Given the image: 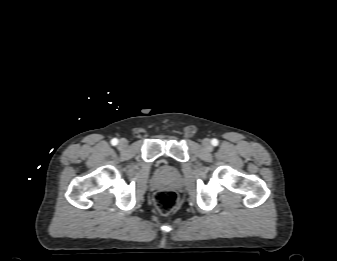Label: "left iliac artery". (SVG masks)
Here are the masks:
<instances>
[{"mask_svg": "<svg viewBox=\"0 0 337 261\" xmlns=\"http://www.w3.org/2000/svg\"><path fill=\"white\" fill-rule=\"evenodd\" d=\"M213 146H217L218 145V140L217 139H212L211 141Z\"/></svg>", "mask_w": 337, "mask_h": 261, "instance_id": "1", "label": "left iliac artery"}]
</instances>
